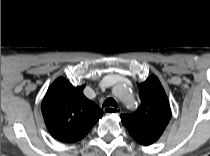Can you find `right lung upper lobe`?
<instances>
[{
    "instance_id": "cb5924a9",
    "label": "right lung upper lobe",
    "mask_w": 210,
    "mask_h": 156,
    "mask_svg": "<svg viewBox=\"0 0 210 156\" xmlns=\"http://www.w3.org/2000/svg\"><path fill=\"white\" fill-rule=\"evenodd\" d=\"M84 87H74L59 77L42 101L46 127L58 141L73 143L81 140L102 116L103 111L84 96Z\"/></svg>"
}]
</instances>
